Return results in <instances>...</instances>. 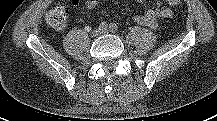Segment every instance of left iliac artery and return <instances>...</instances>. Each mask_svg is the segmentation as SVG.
<instances>
[{
    "mask_svg": "<svg viewBox=\"0 0 217 121\" xmlns=\"http://www.w3.org/2000/svg\"><path fill=\"white\" fill-rule=\"evenodd\" d=\"M109 29L111 32H116L118 30V26L115 23L110 24Z\"/></svg>",
    "mask_w": 217,
    "mask_h": 121,
    "instance_id": "obj_1",
    "label": "left iliac artery"
}]
</instances>
